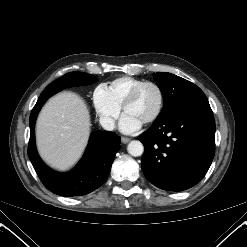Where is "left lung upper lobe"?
<instances>
[{"label":"left lung upper lobe","instance_id":"5c2ea615","mask_svg":"<svg viewBox=\"0 0 247 247\" xmlns=\"http://www.w3.org/2000/svg\"><path fill=\"white\" fill-rule=\"evenodd\" d=\"M164 97V106L159 117L167 116L190 99L205 97L203 91L190 81L171 73L153 74Z\"/></svg>","mask_w":247,"mask_h":247}]
</instances>
